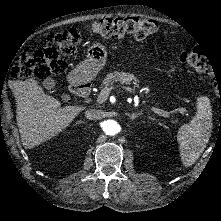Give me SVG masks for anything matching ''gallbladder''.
<instances>
[{"mask_svg":"<svg viewBox=\"0 0 221 221\" xmlns=\"http://www.w3.org/2000/svg\"><path fill=\"white\" fill-rule=\"evenodd\" d=\"M42 85L46 90H51L55 86V81L52 78H46Z\"/></svg>","mask_w":221,"mask_h":221,"instance_id":"obj_1","label":"gallbladder"}]
</instances>
